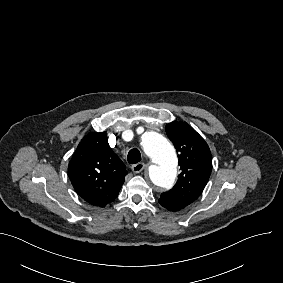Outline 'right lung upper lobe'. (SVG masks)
<instances>
[{
    "label": "right lung upper lobe",
    "instance_id": "cb5924a9",
    "mask_svg": "<svg viewBox=\"0 0 283 283\" xmlns=\"http://www.w3.org/2000/svg\"><path fill=\"white\" fill-rule=\"evenodd\" d=\"M126 174V166L111 150L106 132H91L85 136L68 166V176L75 191L94 206L112 202Z\"/></svg>",
    "mask_w": 283,
    "mask_h": 283
}]
</instances>
